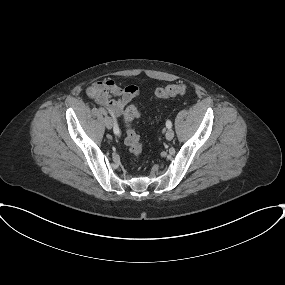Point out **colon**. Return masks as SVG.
Returning <instances> with one entry per match:
<instances>
[{
	"label": "colon",
	"instance_id": "obj_1",
	"mask_svg": "<svg viewBox=\"0 0 285 285\" xmlns=\"http://www.w3.org/2000/svg\"><path fill=\"white\" fill-rule=\"evenodd\" d=\"M187 91L184 84H170L155 91L157 99H167L177 95H183ZM140 117V111L137 107L131 105L126 108L123 114V122L126 126L125 144L130 153L139 158L143 152V144L139 134L133 129L131 123Z\"/></svg>",
	"mask_w": 285,
	"mask_h": 285
}]
</instances>
